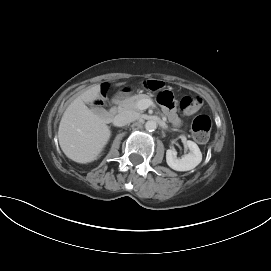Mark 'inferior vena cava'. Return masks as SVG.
Segmentation results:
<instances>
[{"mask_svg": "<svg viewBox=\"0 0 271 271\" xmlns=\"http://www.w3.org/2000/svg\"><path fill=\"white\" fill-rule=\"evenodd\" d=\"M137 119V115L132 111H124L115 116V125L125 126Z\"/></svg>", "mask_w": 271, "mask_h": 271, "instance_id": "inferior-vena-cava-1", "label": "inferior vena cava"}]
</instances>
